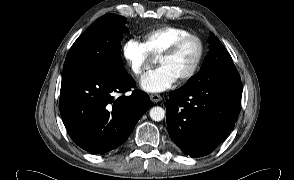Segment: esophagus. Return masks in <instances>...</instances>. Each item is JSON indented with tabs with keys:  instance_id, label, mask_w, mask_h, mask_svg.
I'll use <instances>...</instances> for the list:
<instances>
[{
	"instance_id": "esophagus-1",
	"label": "esophagus",
	"mask_w": 294,
	"mask_h": 180,
	"mask_svg": "<svg viewBox=\"0 0 294 180\" xmlns=\"http://www.w3.org/2000/svg\"><path fill=\"white\" fill-rule=\"evenodd\" d=\"M150 99L152 102L157 103L162 100V97L159 94H151Z\"/></svg>"
}]
</instances>
